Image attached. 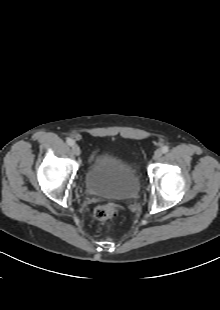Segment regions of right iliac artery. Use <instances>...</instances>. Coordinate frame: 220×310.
I'll list each match as a JSON object with an SVG mask.
<instances>
[{
  "label": "right iliac artery",
  "mask_w": 220,
  "mask_h": 310,
  "mask_svg": "<svg viewBox=\"0 0 220 310\" xmlns=\"http://www.w3.org/2000/svg\"><path fill=\"white\" fill-rule=\"evenodd\" d=\"M66 142L69 146H73L75 143L74 140H72L71 138H68Z\"/></svg>",
  "instance_id": "82829eb1"
}]
</instances>
